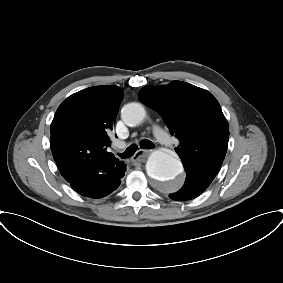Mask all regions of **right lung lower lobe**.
Here are the masks:
<instances>
[{
  "label": "right lung lower lobe",
  "instance_id": "98d812e1",
  "mask_svg": "<svg viewBox=\"0 0 283 283\" xmlns=\"http://www.w3.org/2000/svg\"><path fill=\"white\" fill-rule=\"evenodd\" d=\"M125 170L123 162L101 161L92 170L77 174L69 183L83 196L102 198L119 187Z\"/></svg>",
  "mask_w": 283,
  "mask_h": 283
}]
</instances>
